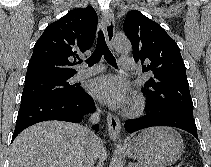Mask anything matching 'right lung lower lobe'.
<instances>
[{"instance_id":"obj_1","label":"right lung lower lobe","mask_w":211,"mask_h":167,"mask_svg":"<svg viewBox=\"0 0 211 167\" xmlns=\"http://www.w3.org/2000/svg\"><path fill=\"white\" fill-rule=\"evenodd\" d=\"M95 111L92 97L83 88L71 95L39 96L21 99L16 127L12 141L25 128L47 120H61L73 123L82 121L83 116ZM98 131L99 126L92 127Z\"/></svg>"}]
</instances>
